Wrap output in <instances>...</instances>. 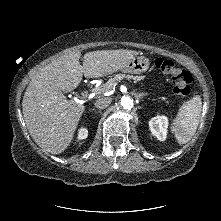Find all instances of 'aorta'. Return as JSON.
I'll list each match as a JSON object with an SVG mask.
<instances>
[{
	"label": "aorta",
	"mask_w": 221,
	"mask_h": 221,
	"mask_svg": "<svg viewBox=\"0 0 221 221\" xmlns=\"http://www.w3.org/2000/svg\"><path fill=\"white\" fill-rule=\"evenodd\" d=\"M121 106L124 109H131L133 106V100L130 97L124 96L121 99Z\"/></svg>",
	"instance_id": "1"
}]
</instances>
